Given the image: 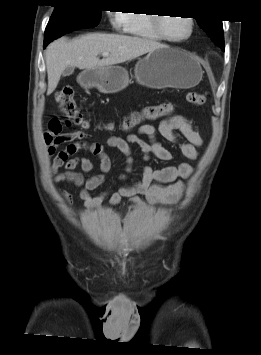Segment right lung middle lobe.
Segmentation results:
<instances>
[{
  "label": "right lung middle lobe",
  "mask_w": 261,
  "mask_h": 355,
  "mask_svg": "<svg viewBox=\"0 0 261 355\" xmlns=\"http://www.w3.org/2000/svg\"><path fill=\"white\" fill-rule=\"evenodd\" d=\"M101 9L89 0H69L58 3L45 30V36L66 28H91L98 25Z\"/></svg>",
  "instance_id": "right-lung-middle-lobe-1"
}]
</instances>
